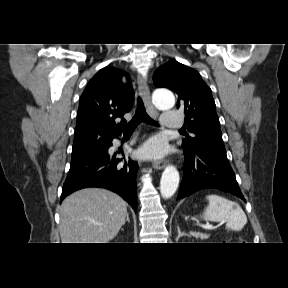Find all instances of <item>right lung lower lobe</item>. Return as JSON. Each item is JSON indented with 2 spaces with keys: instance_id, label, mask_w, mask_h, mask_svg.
Masks as SVG:
<instances>
[{
  "instance_id": "right-lung-lower-lobe-1",
  "label": "right lung lower lobe",
  "mask_w": 288,
  "mask_h": 288,
  "mask_svg": "<svg viewBox=\"0 0 288 288\" xmlns=\"http://www.w3.org/2000/svg\"><path fill=\"white\" fill-rule=\"evenodd\" d=\"M112 140L75 160L64 182L61 201L72 192L86 187L107 188L122 196L136 211V173L138 164L111 158L108 149ZM123 154V151H120Z\"/></svg>"
}]
</instances>
